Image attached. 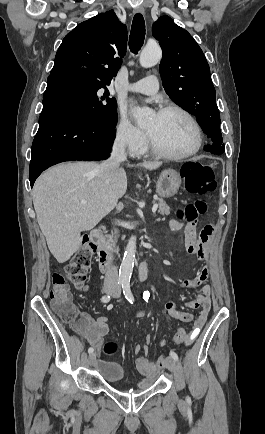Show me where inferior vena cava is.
Listing matches in <instances>:
<instances>
[{
    "label": "inferior vena cava",
    "mask_w": 265,
    "mask_h": 434,
    "mask_svg": "<svg viewBox=\"0 0 265 434\" xmlns=\"http://www.w3.org/2000/svg\"><path fill=\"white\" fill-rule=\"evenodd\" d=\"M126 158L124 140H115L110 158L98 166L99 178H101L103 182H107L111 176V172L119 168L120 162H126ZM105 282H110V284L118 286L119 280L116 266H109L105 274Z\"/></svg>",
    "instance_id": "1"
}]
</instances>
